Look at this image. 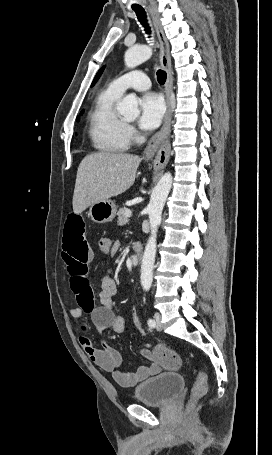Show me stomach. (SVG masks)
Returning <instances> with one entry per match:
<instances>
[{"label": "stomach", "mask_w": 272, "mask_h": 455, "mask_svg": "<svg viewBox=\"0 0 272 455\" xmlns=\"http://www.w3.org/2000/svg\"><path fill=\"white\" fill-rule=\"evenodd\" d=\"M88 215L92 221L99 224L110 222L116 215V205L109 199L96 202L90 206Z\"/></svg>", "instance_id": "0dacf381"}]
</instances>
